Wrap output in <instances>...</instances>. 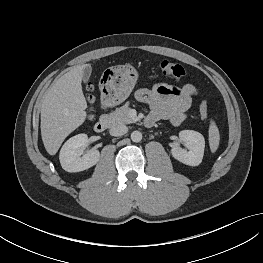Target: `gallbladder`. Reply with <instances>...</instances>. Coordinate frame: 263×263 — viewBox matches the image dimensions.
Here are the masks:
<instances>
[{
    "label": "gallbladder",
    "mask_w": 263,
    "mask_h": 263,
    "mask_svg": "<svg viewBox=\"0 0 263 263\" xmlns=\"http://www.w3.org/2000/svg\"><path fill=\"white\" fill-rule=\"evenodd\" d=\"M91 72H92V69H91L90 66L84 67V69H83V76L82 77H83V81L85 83L89 80Z\"/></svg>",
    "instance_id": "obj_1"
}]
</instances>
